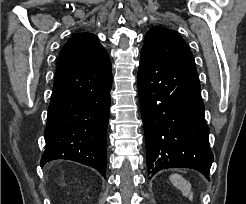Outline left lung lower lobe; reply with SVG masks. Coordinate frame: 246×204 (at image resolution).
Wrapping results in <instances>:
<instances>
[{
  "mask_svg": "<svg viewBox=\"0 0 246 204\" xmlns=\"http://www.w3.org/2000/svg\"><path fill=\"white\" fill-rule=\"evenodd\" d=\"M138 91L148 174L192 168L209 180L213 154L197 71L141 52Z\"/></svg>",
  "mask_w": 246,
  "mask_h": 204,
  "instance_id": "1",
  "label": "left lung lower lobe"
}]
</instances>
